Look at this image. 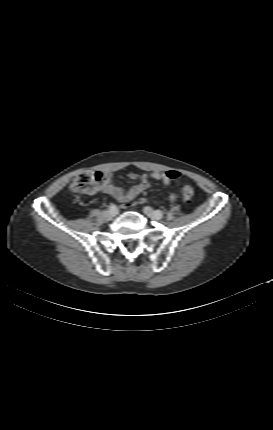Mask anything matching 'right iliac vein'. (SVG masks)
Here are the masks:
<instances>
[{"mask_svg": "<svg viewBox=\"0 0 273 430\" xmlns=\"http://www.w3.org/2000/svg\"><path fill=\"white\" fill-rule=\"evenodd\" d=\"M105 214H106V216L111 217V218L115 217L118 214V209L117 208L114 210L109 209L108 211L105 212Z\"/></svg>", "mask_w": 273, "mask_h": 430, "instance_id": "1", "label": "right iliac vein"}]
</instances>
